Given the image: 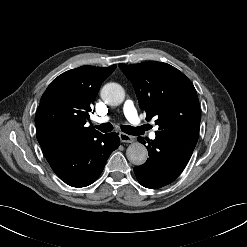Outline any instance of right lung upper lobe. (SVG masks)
Listing matches in <instances>:
<instances>
[{"mask_svg": "<svg viewBox=\"0 0 247 247\" xmlns=\"http://www.w3.org/2000/svg\"><path fill=\"white\" fill-rule=\"evenodd\" d=\"M115 68L85 65L66 71L51 82L35 116L37 139L46 158L65 140L101 134L85 124L102 82Z\"/></svg>", "mask_w": 247, "mask_h": 247, "instance_id": "cb5924a9", "label": "right lung upper lobe"}]
</instances>
